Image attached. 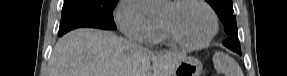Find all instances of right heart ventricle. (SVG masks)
I'll use <instances>...</instances> for the list:
<instances>
[{
  "mask_svg": "<svg viewBox=\"0 0 287 76\" xmlns=\"http://www.w3.org/2000/svg\"><path fill=\"white\" fill-rule=\"evenodd\" d=\"M155 25H156V34L152 41V43H166L168 42V38L165 34V31L163 29V25L161 22V18H155L154 19Z\"/></svg>",
  "mask_w": 287,
  "mask_h": 76,
  "instance_id": "e07e8e85",
  "label": "right heart ventricle"
}]
</instances>
